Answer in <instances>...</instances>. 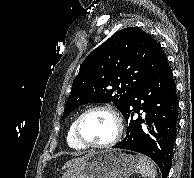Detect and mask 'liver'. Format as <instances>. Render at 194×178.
<instances>
[{"mask_svg":"<svg viewBox=\"0 0 194 178\" xmlns=\"http://www.w3.org/2000/svg\"><path fill=\"white\" fill-rule=\"evenodd\" d=\"M90 155V154H89ZM89 155H86V156H83V157H79V158H75V159H72L70 161H68L64 166H63V169H68L80 162H82L86 157H88Z\"/></svg>","mask_w":194,"mask_h":178,"instance_id":"6515ba94","label":"liver"}]
</instances>
